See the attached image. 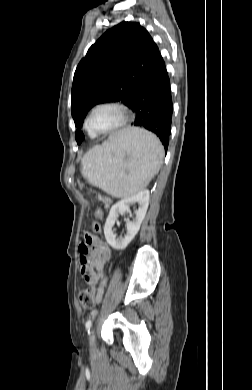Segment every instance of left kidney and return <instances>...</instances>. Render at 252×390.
I'll use <instances>...</instances> for the list:
<instances>
[{
    "mask_svg": "<svg viewBox=\"0 0 252 390\" xmlns=\"http://www.w3.org/2000/svg\"><path fill=\"white\" fill-rule=\"evenodd\" d=\"M138 203V209L135 211V218L127 220V233L124 237L117 238L114 234V224L119 214L130 212V205ZM149 205V191L142 190L133 196L122 199L114 204L109 212L105 226L104 235L108 244L116 250H123L132 241L140 229V225L146 215Z\"/></svg>",
    "mask_w": 252,
    "mask_h": 390,
    "instance_id": "5707ae66",
    "label": "left kidney"
}]
</instances>
